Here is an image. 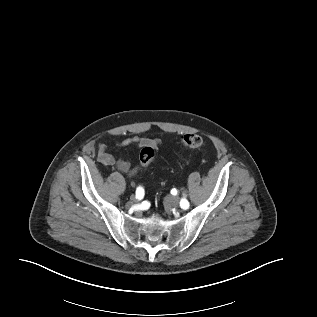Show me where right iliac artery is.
<instances>
[{
  "mask_svg": "<svg viewBox=\"0 0 317 317\" xmlns=\"http://www.w3.org/2000/svg\"><path fill=\"white\" fill-rule=\"evenodd\" d=\"M144 197V189L139 186L137 189H136V198L137 199H142Z\"/></svg>",
  "mask_w": 317,
  "mask_h": 317,
  "instance_id": "1",
  "label": "right iliac artery"
}]
</instances>
